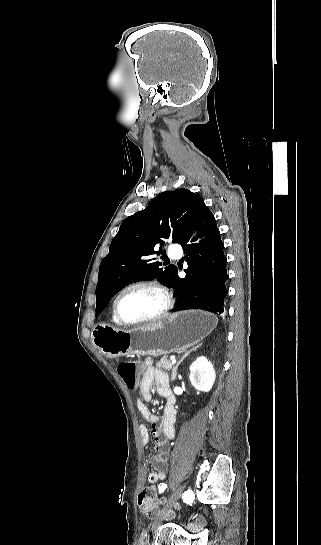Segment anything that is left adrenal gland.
<instances>
[{
	"mask_svg": "<svg viewBox=\"0 0 321 545\" xmlns=\"http://www.w3.org/2000/svg\"><path fill=\"white\" fill-rule=\"evenodd\" d=\"M196 349H198V347H194V349H191V351H188V353H185L184 357H181L180 361H178L177 365H175L173 371H172V377H171V381H175L176 377H177V369L180 365V363H182V361H184V359H186V357H188V355H190V353H192V351H196Z\"/></svg>",
	"mask_w": 321,
	"mask_h": 545,
	"instance_id": "a2214340",
	"label": "left adrenal gland"
}]
</instances>
